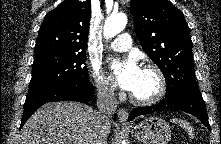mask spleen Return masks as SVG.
<instances>
[{
    "instance_id": "1",
    "label": "spleen",
    "mask_w": 221,
    "mask_h": 144,
    "mask_svg": "<svg viewBox=\"0 0 221 144\" xmlns=\"http://www.w3.org/2000/svg\"><path fill=\"white\" fill-rule=\"evenodd\" d=\"M173 123L178 124L179 126H181L182 128H184L186 130V132L188 133V135L190 136V138L194 137V129L193 127L190 125L189 122L183 120V119H172Z\"/></svg>"
}]
</instances>
